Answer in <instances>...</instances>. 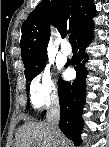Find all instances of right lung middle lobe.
I'll use <instances>...</instances> for the list:
<instances>
[{
    "mask_svg": "<svg viewBox=\"0 0 109 147\" xmlns=\"http://www.w3.org/2000/svg\"><path fill=\"white\" fill-rule=\"evenodd\" d=\"M48 60V57L45 56L38 64H36L35 66H30V67H27L25 68V77H26V80H27V91L29 90V82L36 76L38 75L42 70L43 68L45 67L46 65V62ZM28 94V92H27ZM30 108V102L28 100L27 102V109Z\"/></svg>",
    "mask_w": 109,
    "mask_h": 147,
    "instance_id": "obj_1",
    "label": "right lung middle lobe"
}]
</instances>
